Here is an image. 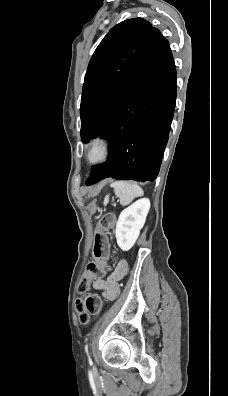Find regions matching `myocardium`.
I'll list each match as a JSON object with an SVG mask.
<instances>
[{"mask_svg": "<svg viewBox=\"0 0 228 396\" xmlns=\"http://www.w3.org/2000/svg\"><path fill=\"white\" fill-rule=\"evenodd\" d=\"M111 151V143L104 137H95L91 140L87 150V160L91 164H101L105 162Z\"/></svg>", "mask_w": 228, "mask_h": 396, "instance_id": "f54148a6", "label": "myocardium"}]
</instances>
